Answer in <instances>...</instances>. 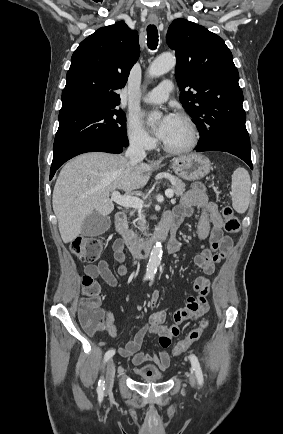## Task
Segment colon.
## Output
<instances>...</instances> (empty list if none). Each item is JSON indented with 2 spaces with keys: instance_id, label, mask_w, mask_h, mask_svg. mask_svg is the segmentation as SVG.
I'll return each mask as SVG.
<instances>
[{
  "instance_id": "obj_1",
  "label": "colon",
  "mask_w": 283,
  "mask_h": 434,
  "mask_svg": "<svg viewBox=\"0 0 283 434\" xmlns=\"http://www.w3.org/2000/svg\"><path fill=\"white\" fill-rule=\"evenodd\" d=\"M224 229L229 234H236L240 230V221L230 206L222 210ZM104 240L99 236H82L77 238L72 245L74 254L82 261L95 262L103 249ZM84 297L80 304L79 320L82 326L90 333L100 330L104 312L101 308L100 285L98 281L89 275L82 279ZM207 320L203 319L200 325L192 329L185 339L179 341L172 349V354L177 356L185 352L194 342L198 341L207 327Z\"/></svg>"
}]
</instances>
